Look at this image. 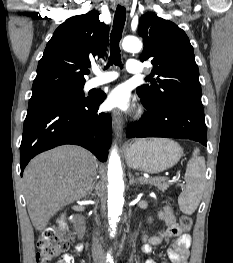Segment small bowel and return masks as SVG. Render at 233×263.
<instances>
[{"mask_svg":"<svg viewBox=\"0 0 233 263\" xmlns=\"http://www.w3.org/2000/svg\"><path fill=\"white\" fill-rule=\"evenodd\" d=\"M161 220L166 224L167 229L157 236H143V245L141 251L145 254L153 252L155 246L161 245L174 239L168 250V256L172 263H188L189 249L191 246V237L186 233L175 220V216L170 206H165L159 214ZM82 246H77V251H81ZM56 263H74V257L71 254H64ZM145 263H157L149 258Z\"/></svg>","mask_w":233,"mask_h":263,"instance_id":"c3829d8e","label":"small bowel"}]
</instances>
